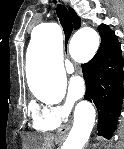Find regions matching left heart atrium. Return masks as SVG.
<instances>
[{
  "label": "left heart atrium",
  "mask_w": 124,
  "mask_h": 149,
  "mask_svg": "<svg viewBox=\"0 0 124 149\" xmlns=\"http://www.w3.org/2000/svg\"><path fill=\"white\" fill-rule=\"evenodd\" d=\"M85 92V84L82 78L73 77L70 79L68 97L70 101L80 100Z\"/></svg>",
  "instance_id": "left-heart-atrium-1"
}]
</instances>
